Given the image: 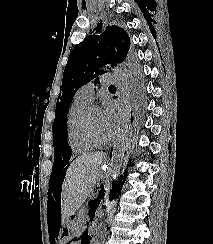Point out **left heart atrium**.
Returning <instances> with one entry per match:
<instances>
[{"label":"left heart atrium","mask_w":213,"mask_h":244,"mask_svg":"<svg viewBox=\"0 0 213 244\" xmlns=\"http://www.w3.org/2000/svg\"><path fill=\"white\" fill-rule=\"evenodd\" d=\"M101 116L103 124L110 132H113L116 123V112L115 107L111 102L105 103L104 108L101 110Z\"/></svg>","instance_id":"1"}]
</instances>
